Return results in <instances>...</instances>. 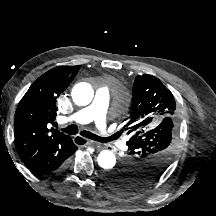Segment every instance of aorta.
Wrapping results in <instances>:
<instances>
[{"mask_svg":"<svg viewBox=\"0 0 216 216\" xmlns=\"http://www.w3.org/2000/svg\"><path fill=\"white\" fill-rule=\"evenodd\" d=\"M94 96V91L90 84L79 83L72 90V99L75 104L85 106L91 103ZM98 165L105 169H112L116 164L115 154L110 150H103L97 157Z\"/></svg>","mask_w":216,"mask_h":216,"instance_id":"762f6f07","label":"aorta"}]
</instances>
